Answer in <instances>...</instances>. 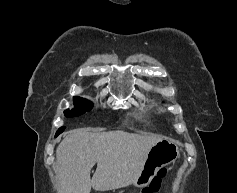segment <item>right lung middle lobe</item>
I'll use <instances>...</instances> for the list:
<instances>
[{
	"label": "right lung middle lobe",
	"mask_w": 237,
	"mask_h": 193,
	"mask_svg": "<svg viewBox=\"0 0 237 193\" xmlns=\"http://www.w3.org/2000/svg\"><path fill=\"white\" fill-rule=\"evenodd\" d=\"M74 108L69 110H65L64 114L66 117H75L84 114L92 109L93 103L88 101L87 99L77 97L74 98Z\"/></svg>",
	"instance_id": "dd1d6c3e"
}]
</instances>
